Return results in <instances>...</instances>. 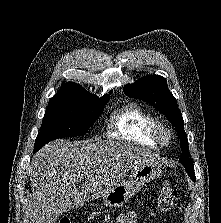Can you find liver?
Listing matches in <instances>:
<instances>
[{"label":"liver","instance_id":"6515ba94","mask_svg":"<svg viewBox=\"0 0 221 223\" xmlns=\"http://www.w3.org/2000/svg\"><path fill=\"white\" fill-rule=\"evenodd\" d=\"M154 160L152 151L129 142L53 141L31 161L28 223H56L63 213L109 193L136 164Z\"/></svg>","mask_w":221,"mask_h":223}]
</instances>
